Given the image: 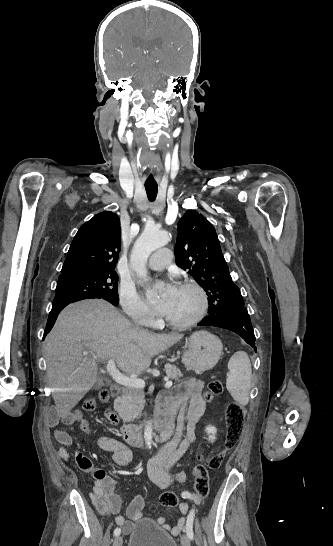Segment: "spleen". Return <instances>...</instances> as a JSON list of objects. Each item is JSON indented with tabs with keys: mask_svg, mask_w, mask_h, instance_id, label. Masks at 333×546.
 Here are the masks:
<instances>
[{
	"mask_svg": "<svg viewBox=\"0 0 333 546\" xmlns=\"http://www.w3.org/2000/svg\"><path fill=\"white\" fill-rule=\"evenodd\" d=\"M228 377L226 387L235 401L241 405H247L251 390L252 368L248 355L238 351L228 362Z\"/></svg>",
	"mask_w": 333,
	"mask_h": 546,
	"instance_id": "1",
	"label": "spleen"
}]
</instances>
